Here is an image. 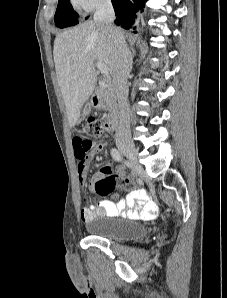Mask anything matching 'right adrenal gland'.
Wrapping results in <instances>:
<instances>
[{
	"label": "right adrenal gland",
	"instance_id": "1",
	"mask_svg": "<svg viewBox=\"0 0 227 298\" xmlns=\"http://www.w3.org/2000/svg\"><path fill=\"white\" fill-rule=\"evenodd\" d=\"M133 55H135V51L133 50Z\"/></svg>",
	"mask_w": 227,
	"mask_h": 298
}]
</instances>
